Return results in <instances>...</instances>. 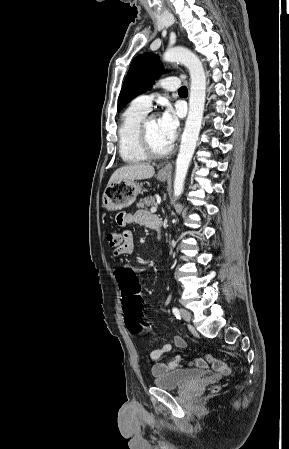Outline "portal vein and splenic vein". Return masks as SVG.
<instances>
[{"instance_id": "1", "label": "portal vein and splenic vein", "mask_w": 289, "mask_h": 449, "mask_svg": "<svg viewBox=\"0 0 289 449\" xmlns=\"http://www.w3.org/2000/svg\"><path fill=\"white\" fill-rule=\"evenodd\" d=\"M156 211H157V208H156V207H152V208H151V212H152V213H155Z\"/></svg>"}]
</instances>
